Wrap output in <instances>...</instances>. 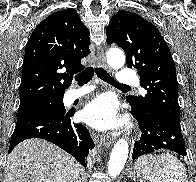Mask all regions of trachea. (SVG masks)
<instances>
[{
    "label": "trachea",
    "instance_id": "trachea-1",
    "mask_svg": "<svg viewBox=\"0 0 196 182\" xmlns=\"http://www.w3.org/2000/svg\"><path fill=\"white\" fill-rule=\"evenodd\" d=\"M95 72L97 76L102 79L103 81L113 85V86H119V87H128L126 85H122L118 83L112 76L109 75L103 68L97 67L95 69ZM94 75V69L93 67L86 68L83 72L77 74L75 76V80L78 82L79 85H83L88 83Z\"/></svg>",
    "mask_w": 196,
    "mask_h": 182
}]
</instances>
